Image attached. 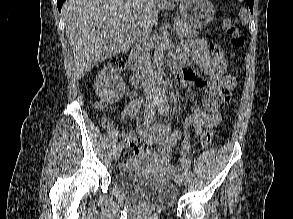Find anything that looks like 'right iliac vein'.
Masks as SVG:
<instances>
[{"label":"right iliac vein","mask_w":293,"mask_h":219,"mask_svg":"<svg viewBox=\"0 0 293 219\" xmlns=\"http://www.w3.org/2000/svg\"><path fill=\"white\" fill-rule=\"evenodd\" d=\"M153 112H154V105L152 103L146 104L145 109H144V117L148 118V117L152 116ZM120 154H121V148L115 149L113 151V160L117 161L120 157Z\"/></svg>","instance_id":"right-iliac-vein-1"}]
</instances>
